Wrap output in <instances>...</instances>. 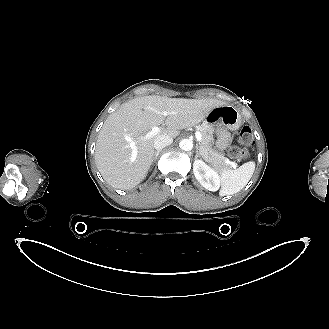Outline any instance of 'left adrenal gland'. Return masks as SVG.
<instances>
[{
	"instance_id": "left-adrenal-gland-1",
	"label": "left adrenal gland",
	"mask_w": 329,
	"mask_h": 329,
	"mask_svg": "<svg viewBox=\"0 0 329 329\" xmlns=\"http://www.w3.org/2000/svg\"><path fill=\"white\" fill-rule=\"evenodd\" d=\"M198 157H201V154L198 151V147L196 148V155H195V159H197Z\"/></svg>"
}]
</instances>
